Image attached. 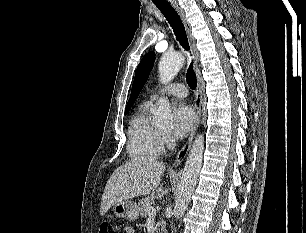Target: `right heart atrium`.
<instances>
[{
  "mask_svg": "<svg viewBox=\"0 0 306 233\" xmlns=\"http://www.w3.org/2000/svg\"><path fill=\"white\" fill-rule=\"evenodd\" d=\"M172 144L171 138L167 133L161 134V150L164 151L166 148L170 147Z\"/></svg>",
  "mask_w": 306,
  "mask_h": 233,
  "instance_id": "right-heart-atrium-1",
  "label": "right heart atrium"
}]
</instances>
